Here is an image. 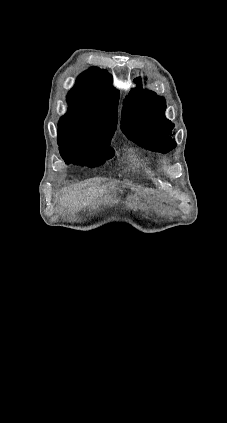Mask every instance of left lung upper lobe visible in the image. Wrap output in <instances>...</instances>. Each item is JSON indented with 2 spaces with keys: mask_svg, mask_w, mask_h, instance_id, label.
Masks as SVG:
<instances>
[{
  "mask_svg": "<svg viewBox=\"0 0 227 423\" xmlns=\"http://www.w3.org/2000/svg\"><path fill=\"white\" fill-rule=\"evenodd\" d=\"M138 84L124 100L121 130L136 144L146 149L167 153L176 147L170 137L174 124L164 116L165 99L156 93L143 90L141 78L134 80Z\"/></svg>",
  "mask_w": 227,
  "mask_h": 423,
  "instance_id": "obj_1",
  "label": "left lung upper lobe"
}]
</instances>
